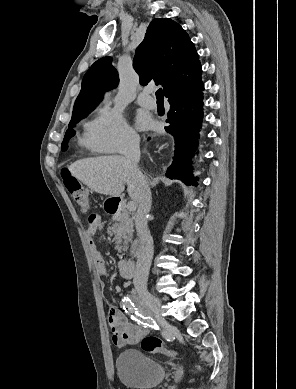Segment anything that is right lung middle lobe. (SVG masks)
<instances>
[{
    "instance_id": "dd1d6c3e",
    "label": "right lung middle lobe",
    "mask_w": 296,
    "mask_h": 389,
    "mask_svg": "<svg viewBox=\"0 0 296 389\" xmlns=\"http://www.w3.org/2000/svg\"><path fill=\"white\" fill-rule=\"evenodd\" d=\"M94 108L95 107L84 108L72 114V119L69 123V129L66 131L64 140L62 142V147H61L62 151L67 150L68 148L67 143L69 139L75 134V131L72 130L71 127H73L80 119L86 117Z\"/></svg>"
}]
</instances>
